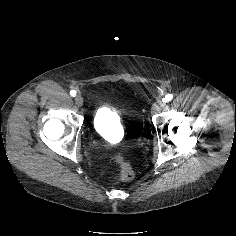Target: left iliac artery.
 I'll list each match as a JSON object with an SVG mask.
<instances>
[{
    "instance_id": "obj_1",
    "label": "left iliac artery",
    "mask_w": 236,
    "mask_h": 236,
    "mask_svg": "<svg viewBox=\"0 0 236 236\" xmlns=\"http://www.w3.org/2000/svg\"><path fill=\"white\" fill-rule=\"evenodd\" d=\"M173 96L171 94H167L164 98V102H168L170 100H172Z\"/></svg>"
}]
</instances>
